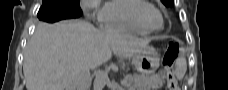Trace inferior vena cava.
Wrapping results in <instances>:
<instances>
[{
	"label": "inferior vena cava",
	"mask_w": 228,
	"mask_h": 90,
	"mask_svg": "<svg viewBox=\"0 0 228 90\" xmlns=\"http://www.w3.org/2000/svg\"><path fill=\"white\" fill-rule=\"evenodd\" d=\"M90 84L91 79L89 69L78 71L71 82L73 90H89Z\"/></svg>",
	"instance_id": "inferior-vena-cava-1"
}]
</instances>
